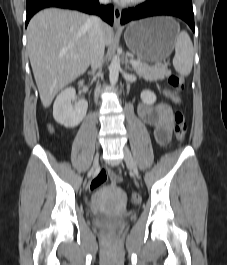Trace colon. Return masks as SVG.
I'll return each instance as SVG.
<instances>
[{"label":"colon","instance_id":"colon-1","mask_svg":"<svg viewBox=\"0 0 227 265\" xmlns=\"http://www.w3.org/2000/svg\"><path fill=\"white\" fill-rule=\"evenodd\" d=\"M169 85L172 89L174 100L176 101L178 98V94L184 88L185 78L182 75H171L168 79ZM174 124H175V137L179 144H182L186 138V134L188 131V125L185 120L184 114L180 110H176L173 116ZM108 179L107 173L105 170H100L94 176L89 184V190L91 192L96 191L99 187H101ZM130 201L133 204H138L141 201V198L138 194H132L130 196Z\"/></svg>","mask_w":227,"mask_h":265}]
</instances>
